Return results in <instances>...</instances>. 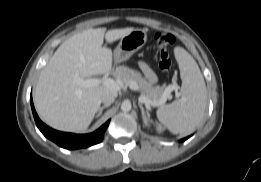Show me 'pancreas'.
Listing matches in <instances>:
<instances>
[{
	"mask_svg": "<svg viewBox=\"0 0 261 182\" xmlns=\"http://www.w3.org/2000/svg\"><path fill=\"white\" fill-rule=\"evenodd\" d=\"M116 79L120 80L123 84H128L135 81L139 84L142 95L150 100L152 106H159L163 99L164 87L152 86L140 72L130 69L126 66H119L114 72Z\"/></svg>",
	"mask_w": 261,
	"mask_h": 182,
	"instance_id": "cf45deb5",
	"label": "pancreas"
}]
</instances>
